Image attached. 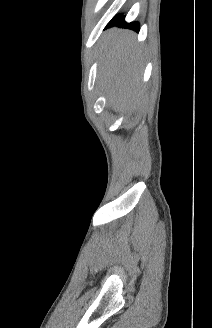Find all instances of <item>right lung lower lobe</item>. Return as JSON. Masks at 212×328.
<instances>
[{"label": "right lung lower lobe", "instance_id": "1", "mask_svg": "<svg viewBox=\"0 0 212 328\" xmlns=\"http://www.w3.org/2000/svg\"><path fill=\"white\" fill-rule=\"evenodd\" d=\"M125 16L118 14L116 15L109 23L106 27H112L114 25L116 26H124L127 27L129 29H132L134 31H139V23L138 22H131V23H127L125 22Z\"/></svg>", "mask_w": 212, "mask_h": 328}]
</instances>
